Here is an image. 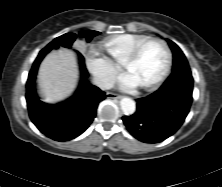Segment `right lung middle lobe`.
<instances>
[{"instance_id": "dd1d6c3e", "label": "right lung middle lobe", "mask_w": 222, "mask_h": 187, "mask_svg": "<svg viewBox=\"0 0 222 187\" xmlns=\"http://www.w3.org/2000/svg\"><path fill=\"white\" fill-rule=\"evenodd\" d=\"M99 34L100 32L92 31V30L81 33V35L87 39V42H89L93 37ZM75 39H76V35L74 33H66L62 36L55 38L52 42H50L46 46V48L53 49V48H58L59 46L70 48L72 43L75 41Z\"/></svg>"}]
</instances>
